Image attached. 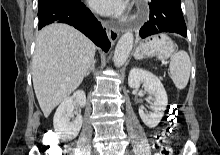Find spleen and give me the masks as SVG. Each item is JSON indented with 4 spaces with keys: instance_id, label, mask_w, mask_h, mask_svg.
<instances>
[{
    "instance_id": "3e777b00",
    "label": "spleen",
    "mask_w": 220,
    "mask_h": 155,
    "mask_svg": "<svg viewBox=\"0 0 220 155\" xmlns=\"http://www.w3.org/2000/svg\"><path fill=\"white\" fill-rule=\"evenodd\" d=\"M169 70L176 88L183 90L187 86L191 71V62L187 52L180 50L175 53L171 59Z\"/></svg>"
}]
</instances>
